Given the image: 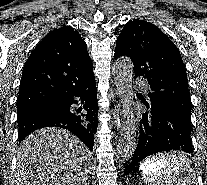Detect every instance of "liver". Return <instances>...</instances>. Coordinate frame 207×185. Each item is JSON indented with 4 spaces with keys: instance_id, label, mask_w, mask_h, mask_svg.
I'll return each mask as SVG.
<instances>
[{
    "instance_id": "6515ba94",
    "label": "liver",
    "mask_w": 207,
    "mask_h": 185,
    "mask_svg": "<svg viewBox=\"0 0 207 185\" xmlns=\"http://www.w3.org/2000/svg\"><path fill=\"white\" fill-rule=\"evenodd\" d=\"M91 155L67 129H38L19 145L12 185H82Z\"/></svg>"
}]
</instances>
